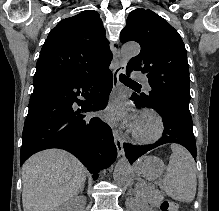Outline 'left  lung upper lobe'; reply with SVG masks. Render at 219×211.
<instances>
[{"label": "left lung upper lobe", "mask_w": 219, "mask_h": 211, "mask_svg": "<svg viewBox=\"0 0 219 211\" xmlns=\"http://www.w3.org/2000/svg\"><path fill=\"white\" fill-rule=\"evenodd\" d=\"M120 41H136L140 53L127 64L126 71L146 73L151 91L142 98L161 108L174 107L190 114V77L187 54L179 33L151 10L130 12Z\"/></svg>", "instance_id": "obj_1"}]
</instances>
